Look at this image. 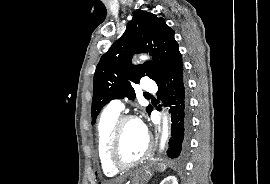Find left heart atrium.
<instances>
[{
    "mask_svg": "<svg viewBox=\"0 0 270 184\" xmlns=\"http://www.w3.org/2000/svg\"><path fill=\"white\" fill-rule=\"evenodd\" d=\"M139 123H140L141 129L147 135L148 133H147V127H146V125L144 123H142V122H139Z\"/></svg>",
    "mask_w": 270,
    "mask_h": 184,
    "instance_id": "left-heart-atrium-1",
    "label": "left heart atrium"
}]
</instances>
